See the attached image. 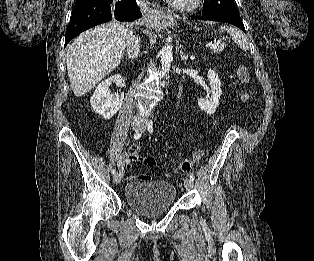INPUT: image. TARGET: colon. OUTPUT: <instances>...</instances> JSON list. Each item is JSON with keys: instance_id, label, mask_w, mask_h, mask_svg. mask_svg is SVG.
<instances>
[{"instance_id": "obj_1", "label": "colon", "mask_w": 314, "mask_h": 261, "mask_svg": "<svg viewBox=\"0 0 314 261\" xmlns=\"http://www.w3.org/2000/svg\"><path fill=\"white\" fill-rule=\"evenodd\" d=\"M238 76L239 79L242 82H248L249 80V73L245 67H240L238 70ZM203 153L201 151L197 152L195 159L199 160L202 157ZM137 162L141 165L147 166V167H153L155 166V160L148 155H139L137 158ZM193 166V161L192 160H185L182 161L178 166H177V172H188ZM145 178V177H142Z\"/></svg>"}]
</instances>
